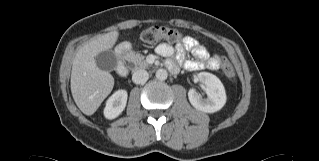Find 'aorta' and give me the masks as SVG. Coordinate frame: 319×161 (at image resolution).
Returning <instances> with one entry per match:
<instances>
[{"label": "aorta", "mask_w": 319, "mask_h": 161, "mask_svg": "<svg viewBox=\"0 0 319 161\" xmlns=\"http://www.w3.org/2000/svg\"><path fill=\"white\" fill-rule=\"evenodd\" d=\"M167 77H168V73H167V71L165 69H158L156 71V78L158 80L163 81V80H166Z\"/></svg>", "instance_id": "1"}]
</instances>
